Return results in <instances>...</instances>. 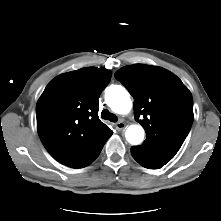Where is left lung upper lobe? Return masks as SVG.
Returning <instances> with one entry per match:
<instances>
[{
  "instance_id": "obj_1",
  "label": "left lung upper lobe",
  "mask_w": 221,
  "mask_h": 221,
  "mask_svg": "<svg viewBox=\"0 0 221 221\" xmlns=\"http://www.w3.org/2000/svg\"><path fill=\"white\" fill-rule=\"evenodd\" d=\"M115 78L134 98L135 119L146 132L144 143L175 156L194 119L190 91L176 75L156 66H125Z\"/></svg>"
}]
</instances>
